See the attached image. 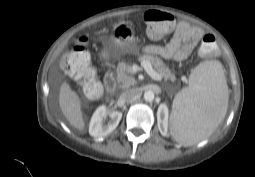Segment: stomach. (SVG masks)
I'll return each mask as SVG.
<instances>
[{"instance_id":"stomach-1","label":"stomach","mask_w":255,"mask_h":177,"mask_svg":"<svg viewBox=\"0 0 255 177\" xmlns=\"http://www.w3.org/2000/svg\"><path fill=\"white\" fill-rule=\"evenodd\" d=\"M108 46L114 56L137 51L135 31L131 24L121 21L113 26Z\"/></svg>"}]
</instances>
